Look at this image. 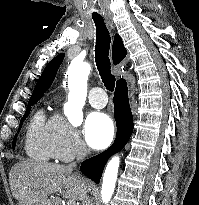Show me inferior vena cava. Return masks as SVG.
Instances as JSON below:
<instances>
[{
    "mask_svg": "<svg viewBox=\"0 0 199 205\" xmlns=\"http://www.w3.org/2000/svg\"><path fill=\"white\" fill-rule=\"evenodd\" d=\"M87 152H88V148H87L86 144L84 142L80 143L79 148L77 150V157H76L77 161L83 160L85 158ZM75 166H76V163H73V164H69L67 167L70 170H72L73 167H75ZM82 205H92L91 200L89 199L88 196H85V198L82 201Z\"/></svg>",
    "mask_w": 199,
    "mask_h": 205,
    "instance_id": "inferior-vena-cava-1",
    "label": "inferior vena cava"
}]
</instances>
